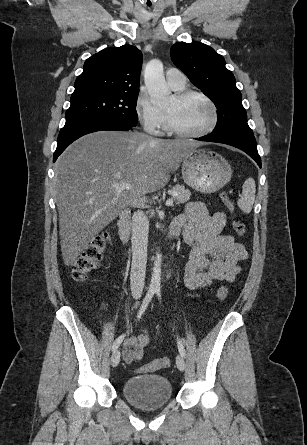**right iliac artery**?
I'll list each match as a JSON object with an SVG mask.
<instances>
[{
  "label": "right iliac artery",
  "instance_id": "right-iliac-artery-1",
  "mask_svg": "<svg viewBox=\"0 0 307 445\" xmlns=\"http://www.w3.org/2000/svg\"><path fill=\"white\" fill-rule=\"evenodd\" d=\"M153 295H154V291H153V290H149L148 293L146 294V296H145V298H144V300H143V303H142V305H141V307H140V310H139V312H138V315H137L138 320H139V319L141 318V316L143 315V313H144V311L146 310V308H147L149 302L151 301ZM124 337H125V334L119 336V337L114 341L113 346H112V350H113V351H115V350L119 347V345H120L121 342L123 341Z\"/></svg>",
  "mask_w": 307,
  "mask_h": 445
}]
</instances>
